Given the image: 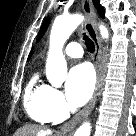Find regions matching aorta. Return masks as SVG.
Instances as JSON below:
<instances>
[{
    "label": "aorta",
    "mask_w": 136,
    "mask_h": 136,
    "mask_svg": "<svg viewBox=\"0 0 136 136\" xmlns=\"http://www.w3.org/2000/svg\"><path fill=\"white\" fill-rule=\"evenodd\" d=\"M83 20L84 16L81 14H71L59 16L53 23L46 62V76L49 83L56 88L62 86L67 76V64L63 55V46ZM100 34L103 38L109 37L108 30L104 25H100ZM90 133V123L85 122L76 130L74 136H90Z\"/></svg>",
    "instance_id": "obj_1"
}]
</instances>
